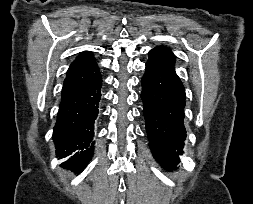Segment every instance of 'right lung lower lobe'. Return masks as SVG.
Listing matches in <instances>:
<instances>
[{
  "label": "right lung lower lobe",
  "instance_id": "1",
  "mask_svg": "<svg viewBox=\"0 0 253 204\" xmlns=\"http://www.w3.org/2000/svg\"><path fill=\"white\" fill-rule=\"evenodd\" d=\"M102 77L91 52H82L70 65L64 80L54 126L56 154L69 157L64 168L81 172L94 151V121L101 99Z\"/></svg>",
  "mask_w": 253,
  "mask_h": 204
}]
</instances>
